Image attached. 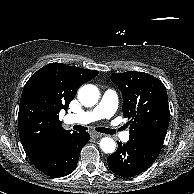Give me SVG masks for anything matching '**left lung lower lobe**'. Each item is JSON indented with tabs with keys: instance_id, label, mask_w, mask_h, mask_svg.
<instances>
[{
	"instance_id": "left-lung-lower-lobe-1",
	"label": "left lung lower lobe",
	"mask_w": 194,
	"mask_h": 194,
	"mask_svg": "<svg viewBox=\"0 0 194 194\" xmlns=\"http://www.w3.org/2000/svg\"><path fill=\"white\" fill-rule=\"evenodd\" d=\"M163 145L136 135H130L126 144L118 142L117 151L108 156V166L115 174L133 177L146 171L157 159Z\"/></svg>"
}]
</instances>
